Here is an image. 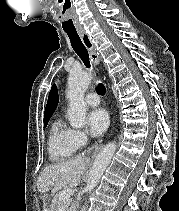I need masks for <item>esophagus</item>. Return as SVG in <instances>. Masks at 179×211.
Masks as SVG:
<instances>
[{
    "label": "esophagus",
    "mask_w": 179,
    "mask_h": 211,
    "mask_svg": "<svg viewBox=\"0 0 179 211\" xmlns=\"http://www.w3.org/2000/svg\"><path fill=\"white\" fill-rule=\"evenodd\" d=\"M83 43L87 47L90 55V59L94 66H97L100 62V57L96 51L95 46L91 42L88 34L84 30L78 31ZM101 143L95 145V147H88V151H83L82 159H86V163H93V156H96V152H101Z\"/></svg>",
    "instance_id": "34e87169"
}]
</instances>
